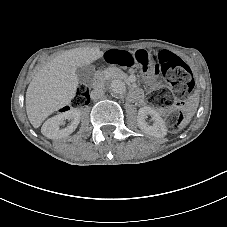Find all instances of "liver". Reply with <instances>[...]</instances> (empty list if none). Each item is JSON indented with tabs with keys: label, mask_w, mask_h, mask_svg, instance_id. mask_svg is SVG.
Returning a JSON list of instances; mask_svg holds the SVG:
<instances>
[{
	"label": "liver",
	"mask_w": 227,
	"mask_h": 227,
	"mask_svg": "<svg viewBox=\"0 0 227 227\" xmlns=\"http://www.w3.org/2000/svg\"><path fill=\"white\" fill-rule=\"evenodd\" d=\"M98 47L74 48L56 56L33 76L26 91V113L39 128L53 112L69 105L79 85L76 71L100 59Z\"/></svg>",
	"instance_id": "liver-1"
}]
</instances>
